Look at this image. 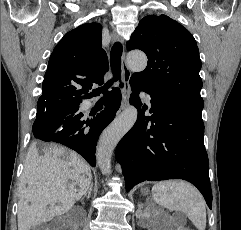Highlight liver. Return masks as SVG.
<instances>
[{
	"mask_svg": "<svg viewBox=\"0 0 241 230\" xmlns=\"http://www.w3.org/2000/svg\"><path fill=\"white\" fill-rule=\"evenodd\" d=\"M91 180L90 167L76 153L56 145L42 153L35 145L30 147L19 187L18 230L68 212Z\"/></svg>",
	"mask_w": 241,
	"mask_h": 230,
	"instance_id": "1",
	"label": "liver"
}]
</instances>
